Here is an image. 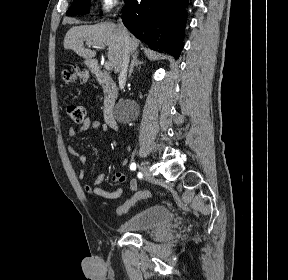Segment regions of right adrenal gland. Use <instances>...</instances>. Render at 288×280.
<instances>
[{
  "label": "right adrenal gland",
  "mask_w": 288,
  "mask_h": 280,
  "mask_svg": "<svg viewBox=\"0 0 288 280\" xmlns=\"http://www.w3.org/2000/svg\"><path fill=\"white\" fill-rule=\"evenodd\" d=\"M142 64H144V62H143V61H140V60L138 59V53H134V54L132 55V60H131V64H130V67H129V77H131L133 68H134L135 66L142 65Z\"/></svg>",
  "instance_id": "2a0ac1e0"
}]
</instances>
